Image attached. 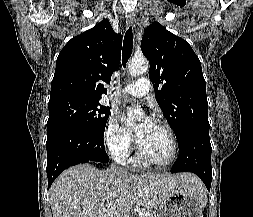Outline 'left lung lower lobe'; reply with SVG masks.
Here are the masks:
<instances>
[{"label": "left lung lower lobe", "instance_id": "left-lung-lower-lobe-1", "mask_svg": "<svg viewBox=\"0 0 253 217\" xmlns=\"http://www.w3.org/2000/svg\"><path fill=\"white\" fill-rule=\"evenodd\" d=\"M179 157L171 172L190 171L198 175L210 190L212 181L209 131L191 129L178 140Z\"/></svg>", "mask_w": 253, "mask_h": 217}]
</instances>
